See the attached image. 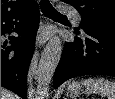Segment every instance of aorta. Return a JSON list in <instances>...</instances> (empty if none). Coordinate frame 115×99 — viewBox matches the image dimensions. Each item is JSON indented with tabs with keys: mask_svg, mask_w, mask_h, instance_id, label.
<instances>
[{
	"mask_svg": "<svg viewBox=\"0 0 115 99\" xmlns=\"http://www.w3.org/2000/svg\"><path fill=\"white\" fill-rule=\"evenodd\" d=\"M62 54V43L59 37H53L46 45L37 70L38 92L47 94L49 84Z\"/></svg>",
	"mask_w": 115,
	"mask_h": 99,
	"instance_id": "762f6f07",
	"label": "aorta"
}]
</instances>
